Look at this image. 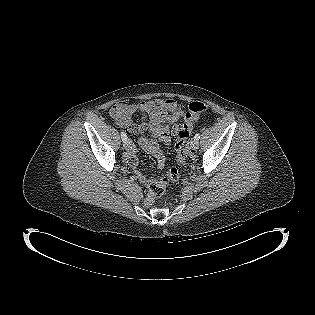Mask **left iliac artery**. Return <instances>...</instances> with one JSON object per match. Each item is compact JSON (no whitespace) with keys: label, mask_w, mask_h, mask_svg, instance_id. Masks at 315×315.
<instances>
[{"label":"left iliac artery","mask_w":315,"mask_h":315,"mask_svg":"<svg viewBox=\"0 0 315 315\" xmlns=\"http://www.w3.org/2000/svg\"><path fill=\"white\" fill-rule=\"evenodd\" d=\"M194 138H195L196 140H199V139H200V134L197 133Z\"/></svg>","instance_id":"44dca946"}]
</instances>
